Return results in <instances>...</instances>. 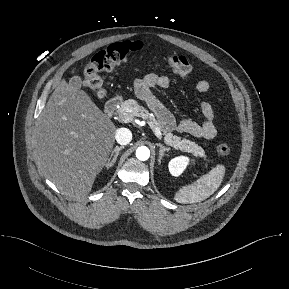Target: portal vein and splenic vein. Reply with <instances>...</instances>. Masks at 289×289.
<instances>
[{
	"label": "portal vein and splenic vein",
	"instance_id": "portal-vein-and-splenic-vein-1",
	"mask_svg": "<svg viewBox=\"0 0 289 289\" xmlns=\"http://www.w3.org/2000/svg\"><path fill=\"white\" fill-rule=\"evenodd\" d=\"M119 119L121 122H124V123H129V122H132V120H133L132 116L127 115V114L120 115ZM147 123L151 127V129L153 130L155 135L160 139L162 136V133H161L160 129L157 127V125L151 120H147Z\"/></svg>",
	"mask_w": 289,
	"mask_h": 289
}]
</instances>
